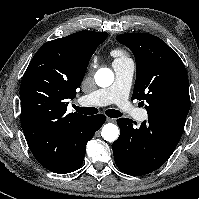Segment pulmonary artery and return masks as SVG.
<instances>
[{
  "label": "pulmonary artery",
  "instance_id": "e3ab8cb5",
  "mask_svg": "<svg viewBox=\"0 0 199 199\" xmlns=\"http://www.w3.org/2000/svg\"><path fill=\"white\" fill-rule=\"evenodd\" d=\"M113 68L115 71L114 83L109 88L82 96L79 99V103L89 105H109L114 103L126 112L131 113L137 120H146L147 112L143 109H134L128 101L135 71L134 62L130 59H116L113 62Z\"/></svg>",
  "mask_w": 199,
  "mask_h": 199
}]
</instances>
